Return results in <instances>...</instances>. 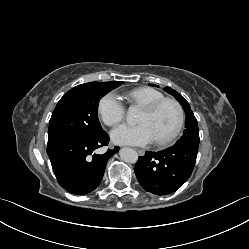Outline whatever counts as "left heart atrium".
I'll return each instance as SVG.
<instances>
[{"mask_svg": "<svg viewBox=\"0 0 249 249\" xmlns=\"http://www.w3.org/2000/svg\"><path fill=\"white\" fill-rule=\"evenodd\" d=\"M112 140L117 144L143 146L155 141L153 133L145 123L137 125H121L111 133Z\"/></svg>", "mask_w": 249, "mask_h": 249, "instance_id": "1", "label": "left heart atrium"}]
</instances>
